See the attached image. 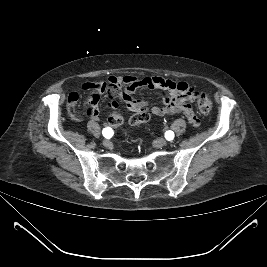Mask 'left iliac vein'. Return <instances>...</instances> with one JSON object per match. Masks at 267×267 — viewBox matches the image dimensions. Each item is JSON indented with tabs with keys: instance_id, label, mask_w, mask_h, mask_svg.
<instances>
[{
	"instance_id": "1",
	"label": "left iliac vein",
	"mask_w": 267,
	"mask_h": 267,
	"mask_svg": "<svg viewBox=\"0 0 267 267\" xmlns=\"http://www.w3.org/2000/svg\"><path fill=\"white\" fill-rule=\"evenodd\" d=\"M154 146L155 147H163L167 145V141L165 139L162 138H158L156 140H154Z\"/></svg>"
}]
</instances>
